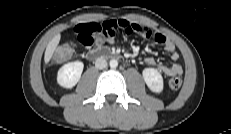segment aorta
<instances>
[{"label": "aorta", "instance_id": "1", "mask_svg": "<svg viewBox=\"0 0 231 134\" xmlns=\"http://www.w3.org/2000/svg\"><path fill=\"white\" fill-rule=\"evenodd\" d=\"M109 65L111 68H116L118 66V61L115 59H112V60H110Z\"/></svg>", "mask_w": 231, "mask_h": 134}]
</instances>
